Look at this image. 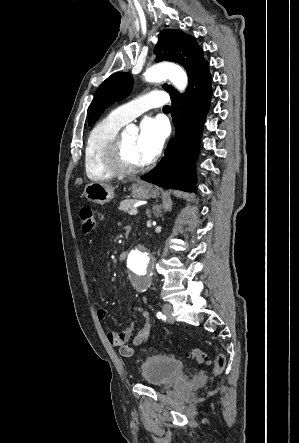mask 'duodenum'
Instances as JSON below:
<instances>
[{
	"mask_svg": "<svg viewBox=\"0 0 299 443\" xmlns=\"http://www.w3.org/2000/svg\"><path fill=\"white\" fill-rule=\"evenodd\" d=\"M129 254V250H124L123 252L120 253L119 255V259H125Z\"/></svg>",
	"mask_w": 299,
	"mask_h": 443,
	"instance_id": "410a0bca",
	"label": "duodenum"
}]
</instances>
